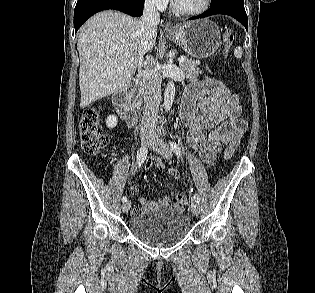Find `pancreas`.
<instances>
[{
	"mask_svg": "<svg viewBox=\"0 0 315 293\" xmlns=\"http://www.w3.org/2000/svg\"><path fill=\"white\" fill-rule=\"evenodd\" d=\"M186 61L180 64L181 70L184 72L187 79H194L196 78L199 73H201L198 65L200 64L199 61H195L189 58H185ZM143 94V84L140 85L138 94L134 97L133 102H139L140 96Z\"/></svg>",
	"mask_w": 315,
	"mask_h": 293,
	"instance_id": "pancreas-1",
	"label": "pancreas"
}]
</instances>
